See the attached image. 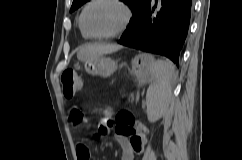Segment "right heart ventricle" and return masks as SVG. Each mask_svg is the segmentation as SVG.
Returning a JSON list of instances; mask_svg holds the SVG:
<instances>
[{
  "mask_svg": "<svg viewBox=\"0 0 242 160\" xmlns=\"http://www.w3.org/2000/svg\"><path fill=\"white\" fill-rule=\"evenodd\" d=\"M80 31H81V34H82V36L84 37V38H89L85 33H84V31L82 30V28H81V26H80Z\"/></svg>",
  "mask_w": 242,
  "mask_h": 160,
  "instance_id": "obj_1",
  "label": "right heart ventricle"
}]
</instances>
